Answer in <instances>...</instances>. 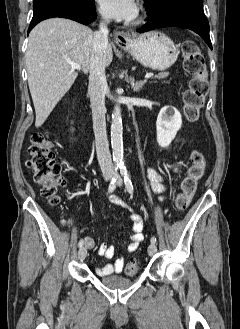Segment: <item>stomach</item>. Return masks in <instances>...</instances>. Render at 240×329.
<instances>
[{
    "label": "stomach",
    "mask_w": 240,
    "mask_h": 329,
    "mask_svg": "<svg viewBox=\"0 0 240 329\" xmlns=\"http://www.w3.org/2000/svg\"><path fill=\"white\" fill-rule=\"evenodd\" d=\"M124 51L130 53L140 64L154 70L169 68L178 57V49L165 34L151 31L133 37Z\"/></svg>",
    "instance_id": "0dacf381"
}]
</instances>
